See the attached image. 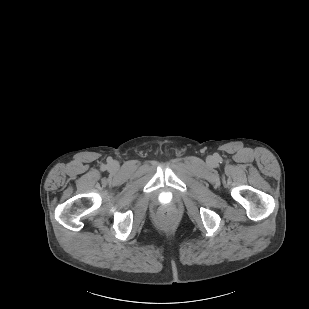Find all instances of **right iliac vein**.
I'll return each instance as SVG.
<instances>
[{"mask_svg": "<svg viewBox=\"0 0 309 309\" xmlns=\"http://www.w3.org/2000/svg\"><path fill=\"white\" fill-rule=\"evenodd\" d=\"M111 169H112V170H116V169H117V165H116V164H112V165H111Z\"/></svg>", "mask_w": 309, "mask_h": 309, "instance_id": "63e3f726", "label": "right iliac vein"}]
</instances>
